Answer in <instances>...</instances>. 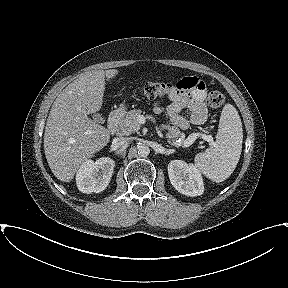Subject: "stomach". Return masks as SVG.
I'll return each instance as SVG.
<instances>
[{"instance_id":"0dacf381","label":"stomach","mask_w":288,"mask_h":288,"mask_svg":"<svg viewBox=\"0 0 288 288\" xmlns=\"http://www.w3.org/2000/svg\"><path fill=\"white\" fill-rule=\"evenodd\" d=\"M120 111H124L125 110V106L122 104L120 105V108H119Z\"/></svg>"}]
</instances>
